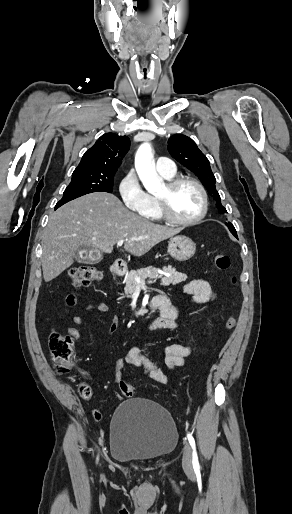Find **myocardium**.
I'll list each match as a JSON object with an SVG mask.
<instances>
[{"label": "myocardium", "mask_w": 292, "mask_h": 514, "mask_svg": "<svg viewBox=\"0 0 292 514\" xmlns=\"http://www.w3.org/2000/svg\"><path fill=\"white\" fill-rule=\"evenodd\" d=\"M185 184L192 185L197 189V191L199 192L200 201H201L200 210H199L198 214L189 220H180V219L174 217L169 210L166 199L164 197L155 196V201L157 203L158 209H159L163 219L174 225L190 226V225L196 224L205 216L206 211H207V194H206L204 187L198 181L193 180L188 177L175 178L173 180L168 181L165 184V188H166L167 192H171L174 189H176L182 185H185Z\"/></svg>", "instance_id": "1"}]
</instances>
